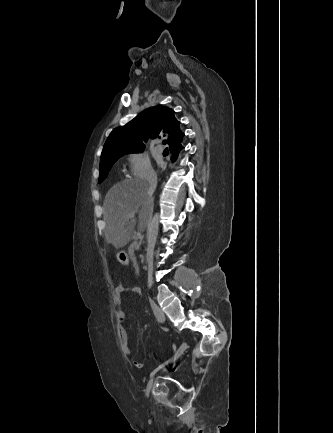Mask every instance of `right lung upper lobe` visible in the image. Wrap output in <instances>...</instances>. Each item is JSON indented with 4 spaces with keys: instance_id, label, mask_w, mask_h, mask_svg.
<instances>
[{
    "instance_id": "1",
    "label": "right lung upper lobe",
    "mask_w": 333,
    "mask_h": 433,
    "mask_svg": "<svg viewBox=\"0 0 333 433\" xmlns=\"http://www.w3.org/2000/svg\"><path fill=\"white\" fill-rule=\"evenodd\" d=\"M161 131L169 134L170 149L181 145L184 133L174 111L161 105L150 107L111 132L103 147L101 160L114 154L144 150L143 141L158 137Z\"/></svg>"
}]
</instances>
